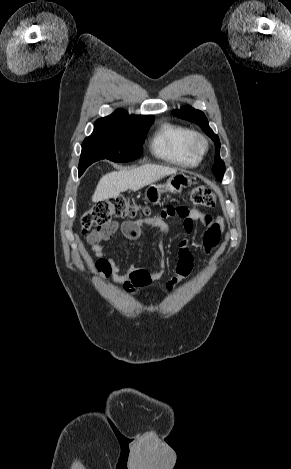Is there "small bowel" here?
Returning <instances> with one entry per match:
<instances>
[{"mask_svg":"<svg viewBox=\"0 0 291 469\" xmlns=\"http://www.w3.org/2000/svg\"><path fill=\"white\" fill-rule=\"evenodd\" d=\"M178 216L182 219L183 229L187 234L193 232V224L195 221L201 223L205 228L202 242L203 248L207 254L213 253L218 246L220 236L224 230L223 219L221 217L213 218L210 214L198 208H186L185 213ZM166 217H168V215L162 213L161 216L154 218L124 222L121 225V230L127 239L137 241L143 237L146 227H158L162 231H165L167 226L164 222V218ZM118 228V223L113 222L110 226L109 233L98 238L90 235L88 236V242L91 244V249L97 257L96 264L99 271L104 276L111 277L116 283L121 284L126 292L132 293L138 288L148 285L152 280L158 279L166 266V262L164 259H161L159 261V270L153 273H149L136 266H130L125 273L121 274L120 266L108 255L102 245V242L109 240ZM178 252L179 259L175 267V274L166 283L168 289H171L174 285L188 278L193 269L194 256L188 239L179 241ZM99 263H103L104 266H98Z\"/></svg>","mask_w":291,"mask_h":469,"instance_id":"1","label":"small bowel"}]
</instances>
